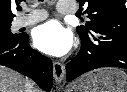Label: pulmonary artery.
Instances as JSON below:
<instances>
[{
	"label": "pulmonary artery",
	"instance_id": "1",
	"mask_svg": "<svg viewBox=\"0 0 127 92\" xmlns=\"http://www.w3.org/2000/svg\"><path fill=\"white\" fill-rule=\"evenodd\" d=\"M57 10L61 14H69L75 11V7L64 1H59L57 4ZM47 18V13L43 9H31L26 16H20L15 20V26L17 28L29 26L40 22Z\"/></svg>",
	"mask_w": 127,
	"mask_h": 92
}]
</instances>
